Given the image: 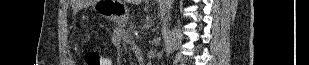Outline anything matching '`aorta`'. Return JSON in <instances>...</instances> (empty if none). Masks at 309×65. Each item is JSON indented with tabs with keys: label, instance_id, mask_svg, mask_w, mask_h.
I'll return each mask as SVG.
<instances>
[{
	"label": "aorta",
	"instance_id": "762f6f07",
	"mask_svg": "<svg viewBox=\"0 0 309 65\" xmlns=\"http://www.w3.org/2000/svg\"><path fill=\"white\" fill-rule=\"evenodd\" d=\"M173 4L174 0H164V4L161 9L165 30H168L170 26V21L172 19Z\"/></svg>",
	"mask_w": 309,
	"mask_h": 65
}]
</instances>
